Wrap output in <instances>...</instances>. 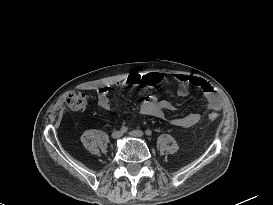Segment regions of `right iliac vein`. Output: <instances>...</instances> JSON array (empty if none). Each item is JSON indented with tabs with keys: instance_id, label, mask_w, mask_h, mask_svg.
<instances>
[{
	"instance_id": "obj_1",
	"label": "right iliac vein",
	"mask_w": 273,
	"mask_h": 205,
	"mask_svg": "<svg viewBox=\"0 0 273 205\" xmlns=\"http://www.w3.org/2000/svg\"><path fill=\"white\" fill-rule=\"evenodd\" d=\"M122 135H123V133H122L121 131L116 130V131H113L111 137H112L113 139H118V138H120Z\"/></svg>"
}]
</instances>
